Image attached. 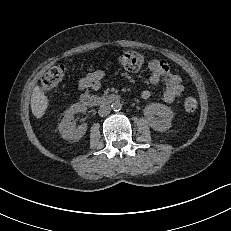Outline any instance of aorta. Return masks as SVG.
Returning a JSON list of instances; mask_svg holds the SVG:
<instances>
[{
    "label": "aorta",
    "mask_w": 231,
    "mask_h": 231,
    "mask_svg": "<svg viewBox=\"0 0 231 231\" xmlns=\"http://www.w3.org/2000/svg\"><path fill=\"white\" fill-rule=\"evenodd\" d=\"M111 107L114 111H119L122 108V104L119 100H116L112 103Z\"/></svg>",
    "instance_id": "aorta-1"
}]
</instances>
